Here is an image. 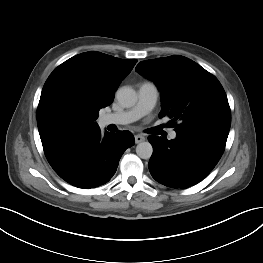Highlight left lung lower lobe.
Wrapping results in <instances>:
<instances>
[{"label": "left lung lower lobe", "instance_id": "obj_1", "mask_svg": "<svg viewBox=\"0 0 263 263\" xmlns=\"http://www.w3.org/2000/svg\"><path fill=\"white\" fill-rule=\"evenodd\" d=\"M174 140L150 135L152 177L168 187L186 189L203 180L221 158L228 133L176 131Z\"/></svg>", "mask_w": 263, "mask_h": 263}]
</instances>
